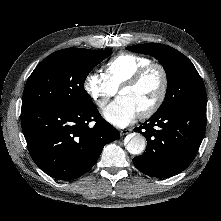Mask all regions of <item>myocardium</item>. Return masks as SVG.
Wrapping results in <instances>:
<instances>
[{
	"mask_svg": "<svg viewBox=\"0 0 221 221\" xmlns=\"http://www.w3.org/2000/svg\"><path fill=\"white\" fill-rule=\"evenodd\" d=\"M153 69H158L162 75L161 90L157 99L154 101V103L150 105L147 109L138 113L140 118H148L152 116L163 105L167 97V93L169 89V75H168L166 68L162 64H159V63H153V62L149 63L143 66L142 68H140L139 70H137L131 77H129L126 81H124L119 87V93H121L122 90L137 85L145 77V75Z\"/></svg>",
	"mask_w": 221,
	"mask_h": 221,
	"instance_id": "myocardium-1",
	"label": "myocardium"
}]
</instances>
